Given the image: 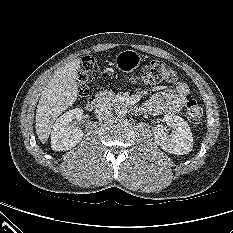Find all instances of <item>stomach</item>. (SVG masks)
Returning <instances> with one entry per match:
<instances>
[{
  "label": "stomach",
  "instance_id": "0dacf381",
  "mask_svg": "<svg viewBox=\"0 0 233 233\" xmlns=\"http://www.w3.org/2000/svg\"><path fill=\"white\" fill-rule=\"evenodd\" d=\"M141 61V56L134 50L121 51L115 57V65L122 71H132Z\"/></svg>",
  "mask_w": 233,
  "mask_h": 233
}]
</instances>
